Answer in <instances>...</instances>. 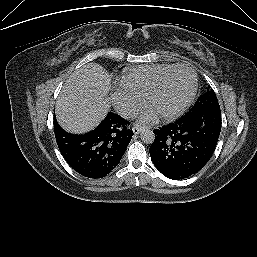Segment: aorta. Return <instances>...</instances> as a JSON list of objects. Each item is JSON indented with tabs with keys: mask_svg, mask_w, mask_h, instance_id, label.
<instances>
[{
	"mask_svg": "<svg viewBox=\"0 0 257 257\" xmlns=\"http://www.w3.org/2000/svg\"><path fill=\"white\" fill-rule=\"evenodd\" d=\"M140 137H141V140L146 144H152L155 139V135L153 131L149 129H144L141 132Z\"/></svg>",
	"mask_w": 257,
	"mask_h": 257,
	"instance_id": "obj_1",
	"label": "aorta"
}]
</instances>
